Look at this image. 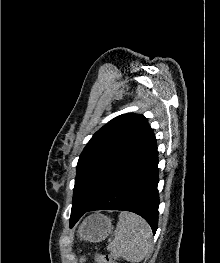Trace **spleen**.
Masks as SVG:
<instances>
[{
	"instance_id": "obj_1",
	"label": "spleen",
	"mask_w": 220,
	"mask_h": 263,
	"mask_svg": "<svg viewBox=\"0 0 220 263\" xmlns=\"http://www.w3.org/2000/svg\"><path fill=\"white\" fill-rule=\"evenodd\" d=\"M152 247V230L140 216L121 212L115 229V238L107 250L132 263L142 261Z\"/></svg>"
}]
</instances>
